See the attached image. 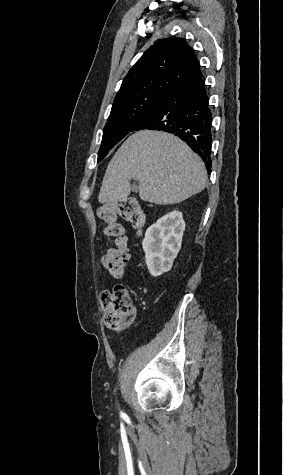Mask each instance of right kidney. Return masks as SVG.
I'll return each mask as SVG.
<instances>
[{
	"label": "right kidney",
	"mask_w": 283,
	"mask_h": 475,
	"mask_svg": "<svg viewBox=\"0 0 283 475\" xmlns=\"http://www.w3.org/2000/svg\"><path fill=\"white\" fill-rule=\"evenodd\" d=\"M185 222L182 212H169L152 224L145 232L142 247L145 251L147 267L154 277L169 271L181 249Z\"/></svg>",
	"instance_id": "ca27d5eb"
}]
</instances>
